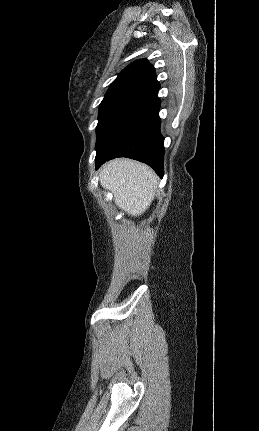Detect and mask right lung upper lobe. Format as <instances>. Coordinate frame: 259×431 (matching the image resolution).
Returning a JSON list of instances; mask_svg holds the SVG:
<instances>
[{
    "label": "right lung upper lobe",
    "instance_id": "obj_1",
    "mask_svg": "<svg viewBox=\"0 0 259 431\" xmlns=\"http://www.w3.org/2000/svg\"><path fill=\"white\" fill-rule=\"evenodd\" d=\"M128 84H138L149 89L152 93L159 90L160 84L156 79L155 69L147 59H140L129 64L112 82L108 91H114Z\"/></svg>",
    "mask_w": 259,
    "mask_h": 431
}]
</instances>
